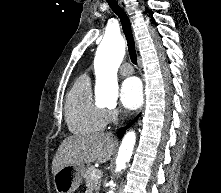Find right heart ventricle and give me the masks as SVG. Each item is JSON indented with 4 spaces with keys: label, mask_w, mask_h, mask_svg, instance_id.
Listing matches in <instances>:
<instances>
[{
    "label": "right heart ventricle",
    "mask_w": 221,
    "mask_h": 193,
    "mask_svg": "<svg viewBox=\"0 0 221 193\" xmlns=\"http://www.w3.org/2000/svg\"><path fill=\"white\" fill-rule=\"evenodd\" d=\"M65 115L70 131L76 134L100 131L106 126V110L94 101L87 76L79 77L68 92Z\"/></svg>",
    "instance_id": "obj_1"
}]
</instances>
